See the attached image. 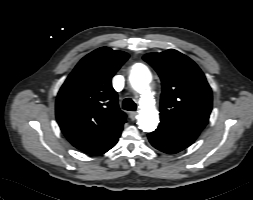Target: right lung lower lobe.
Instances as JSON below:
<instances>
[{"instance_id":"obj_1","label":"right lung lower lobe","mask_w":253,"mask_h":200,"mask_svg":"<svg viewBox=\"0 0 253 200\" xmlns=\"http://www.w3.org/2000/svg\"><path fill=\"white\" fill-rule=\"evenodd\" d=\"M116 143H117V141H116L111 147H109L108 149H106V150H104V151H102V152H100V153H97L96 155H101V154L107 152V151H108L109 149H111Z\"/></svg>"}]
</instances>
